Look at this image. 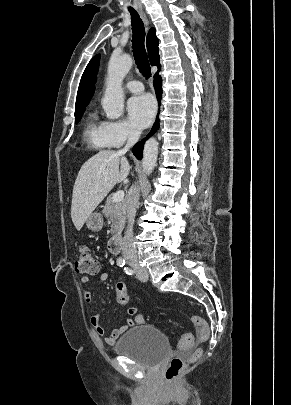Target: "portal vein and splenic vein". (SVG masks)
<instances>
[{
    "label": "portal vein and splenic vein",
    "instance_id": "18ae733b",
    "mask_svg": "<svg viewBox=\"0 0 291 405\" xmlns=\"http://www.w3.org/2000/svg\"><path fill=\"white\" fill-rule=\"evenodd\" d=\"M124 199V191L120 190L113 195V202H120Z\"/></svg>",
    "mask_w": 291,
    "mask_h": 405
}]
</instances>
